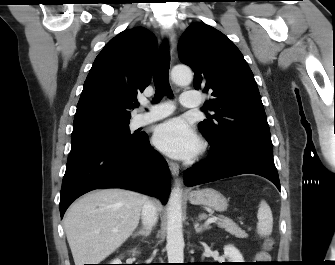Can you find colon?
I'll list each match as a JSON object with an SVG mask.
<instances>
[{"instance_id":"obj_1","label":"colon","mask_w":335,"mask_h":265,"mask_svg":"<svg viewBox=\"0 0 335 265\" xmlns=\"http://www.w3.org/2000/svg\"><path fill=\"white\" fill-rule=\"evenodd\" d=\"M272 246V243L270 240H267L264 244H263V248L262 250L258 253V260L261 261V262H265V261H268L269 259V255H268V251L270 250Z\"/></svg>"}]
</instances>
